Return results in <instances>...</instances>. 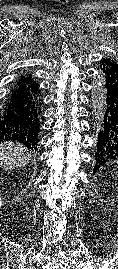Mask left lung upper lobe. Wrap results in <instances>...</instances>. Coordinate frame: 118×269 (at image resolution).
<instances>
[{
	"label": "left lung upper lobe",
	"instance_id": "1",
	"mask_svg": "<svg viewBox=\"0 0 118 269\" xmlns=\"http://www.w3.org/2000/svg\"><path fill=\"white\" fill-rule=\"evenodd\" d=\"M101 63L105 77V89L118 93V64L107 58L103 59Z\"/></svg>",
	"mask_w": 118,
	"mask_h": 269
}]
</instances>
